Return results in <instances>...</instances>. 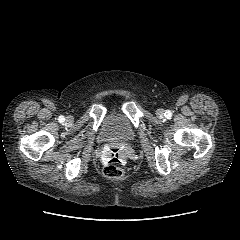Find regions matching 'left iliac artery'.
Masks as SVG:
<instances>
[{"label": "left iliac artery", "mask_w": 240, "mask_h": 240, "mask_svg": "<svg viewBox=\"0 0 240 240\" xmlns=\"http://www.w3.org/2000/svg\"><path fill=\"white\" fill-rule=\"evenodd\" d=\"M164 115L167 117V118H170L171 116H172V113H171V111H166L165 113H164Z\"/></svg>", "instance_id": "left-iliac-artery-1"}]
</instances>
